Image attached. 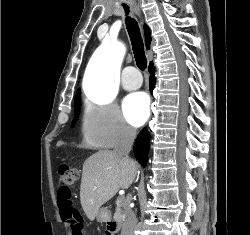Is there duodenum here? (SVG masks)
<instances>
[{
  "label": "duodenum",
  "mask_w": 250,
  "mask_h": 235,
  "mask_svg": "<svg viewBox=\"0 0 250 235\" xmlns=\"http://www.w3.org/2000/svg\"><path fill=\"white\" fill-rule=\"evenodd\" d=\"M109 235H117V229H116V223L115 222H109Z\"/></svg>",
  "instance_id": "1"
}]
</instances>
